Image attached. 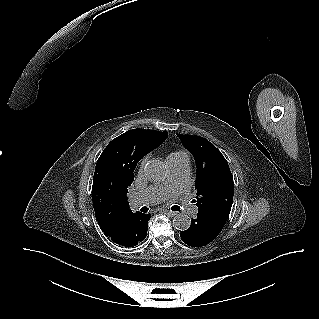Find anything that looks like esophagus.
Returning a JSON list of instances; mask_svg holds the SVG:
<instances>
[{
	"mask_svg": "<svg viewBox=\"0 0 319 319\" xmlns=\"http://www.w3.org/2000/svg\"><path fill=\"white\" fill-rule=\"evenodd\" d=\"M165 214H167L169 217H173L176 215V212L169 211V210H164L163 211Z\"/></svg>",
	"mask_w": 319,
	"mask_h": 319,
	"instance_id": "1",
	"label": "esophagus"
}]
</instances>
